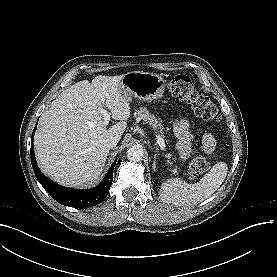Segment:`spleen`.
Wrapping results in <instances>:
<instances>
[{
	"instance_id": "obj_1",
	"label": "spleen",
	"mask_w": 277,
	"mask_h": 277,
	"mask_svg": "<svg viewBox=\"0 0 277 277\" xmlns=\"http://www.w3.org/2000/svg\"><path fill=\"white\" fill-rule=\"evenodd\" d=\"M228 172L225 162H217L197 183L188 184L181 178H167L160 187L159 195L163 202L178 206L198 204L211 196L224 182Z\"/></svg>"
}]
</instances>
